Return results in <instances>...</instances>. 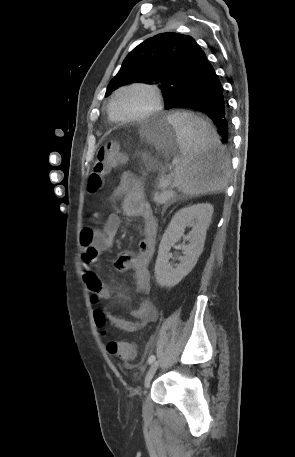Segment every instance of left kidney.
<instances>
[{
    "label": "left kidney",
    "mask_w": 295,
    "mask_h": 457,
    "mask_svg": "<svg viewBox=\"0 0 295 457\" xmlns=\"http://www.w3.org/2000/svg\"><path fill=\"white\" fill-rule=\"evenodd\" d=\"M212 214L213 206L208 203L188 206L175 213L160 242L155 264L156 281L161 287L176 286L192 271L203 251ZM187 226L192 227L187 235L189 243L183 247L180 263L173 268L169 264V252Z\"/></svg>",
    "instance_id": "1"
}]
</instances>
